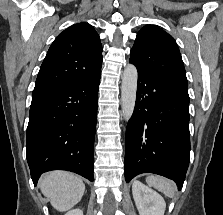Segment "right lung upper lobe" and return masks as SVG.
I'll return each mask as SVG.
<instances>
[{"label":"right lung upper lobe","mask_w":223,"mask_h":215,"mask_svg":"<svg viewBox=\"0 0 223 215\" xmlns=\"http://www.w3.org/2000/svg\"><path fill=\"white\" fill-rule=\"evenodd\" d=\"M102 45L88 23H78L61 32L41 65L33 97L61 90L101 70Z\"/></svg>","instance_id":"obj_1"}]
</instances>
